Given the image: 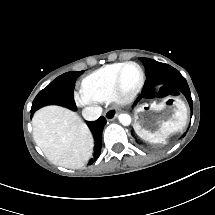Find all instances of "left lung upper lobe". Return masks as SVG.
<instances>
[{"mask_svg":"<svg viewBox=\"0 0 215 215\" xmlns=\"http://www.w3.org/2000/svg\"><path fill=\"white\" fill-rule=\"evenodd\" d=\"M146 69V77L144 88L142 90L143 94L151 92L153 88L161 87V89H177L181 91L191 108V113L193 112V103L190 95V90L185 78L170 65L154 61L149 58H140Z\"/></svg>","mask_w":215,"mask_h":215,"instance_id":"obj_1","label":"left lung upper lobe"}]
</instances>
